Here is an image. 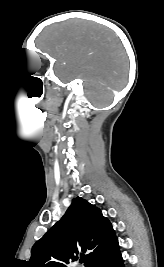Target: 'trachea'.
Here are the masks:
<instances>
[{"instance_id": "trachea-1", "label": "trachea", "mask_w": 164, "mask_h": 267, "mask_svg": "<svg viewBox=\"0 0 164 267\" xmlns=\"http://www.w3.org/2000/svg\"><path fill=\"white\" fill-rule=\"evenodd\" d=\"M85 261V259H81V262H84Z\"/></svg>"}]
</instances>
